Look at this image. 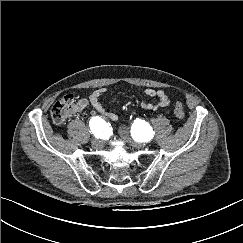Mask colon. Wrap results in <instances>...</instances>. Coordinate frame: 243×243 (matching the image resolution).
<instances>
[{"mask_svg":"<svg viewBox=\"0 0 243 243\" xmlns=\"http://www.w3.org/2000/svg\"><path fill=\"white\" fill-rule=\"evenodd\" d=\"M75 104V98L73 95H65L57 100L51 108V117L53 122L56 125L64 124L72 115ZM174 115L180 120L185 117V111L180 102L175 104Z\"/></svg>","mask_w":243,"mask_h":243,"instance_id":"colon-1","label":"colon"}]
</instances>
